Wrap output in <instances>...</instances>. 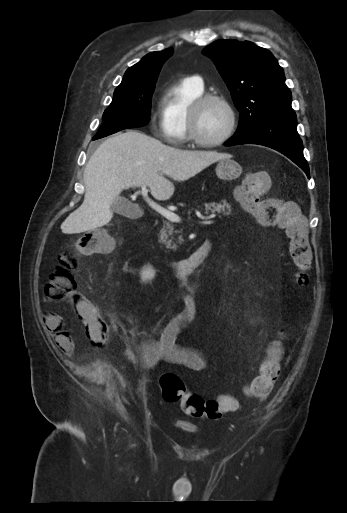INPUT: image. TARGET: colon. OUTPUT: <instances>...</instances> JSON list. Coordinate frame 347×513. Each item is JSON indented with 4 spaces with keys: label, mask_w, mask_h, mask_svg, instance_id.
<instances>
[{
    "label": "colon",
    "mask_w": 347,
    "mask_h": 513,
    "mask_svg": "<svg viewBox=\"0 0 347 513\" xmlns=\"http://www.w3.org/2000/svg\"><path fill=\"white\" fill-rule=\"evenodd\" d=\"M269 185L265 174L251 172L237 186L239 202L245 210L252 213L263 226L274 225L285 231L289 239V252L296 268L295 281L300 287L308 282V270L311 265L312 252L308 240L306 223L292 202L265 200L263 191ZM114 246L113 237L103 229L84 233L76 244V254L92 255L106 253ZM74 253H63L58 263L49 274L45 285V294L54 300H67L75 306V315L80 317V324L87 328L91 343L102 347L108 343L106 324L97 311L94 300H84L77 292L74 273L77 258ZM267 358L260 364L259 374L246 387L249 396L264 399L280 373V362L285 356V349L277 340H269L264 345ZM162 397L168 403H180L183 412L194 418L207 417L219 419L223 414L237 409L236 399L222 394L216 399H204L186 390L183 379L172 372L160 377Z\"/></svg>",
    "instance_id": "1"
}]
</instances>
